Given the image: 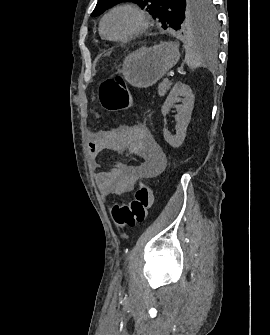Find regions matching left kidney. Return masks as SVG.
Listing matches in <instances>:
<instances>
[{
  "mask_svg": "<svg viewBox=\"0 0 270 335\" xmlns=\"http://www.w3.org/2000/svg\"><path fill=\"white\" fill-rule=\"evenodd\" d=\"M178 96H183L184 100L182 106H175L176 112H178L175 116V120L177 122L176 136H172L171 132H168L167 128H164L163 130V136L172 148H179L185 140L186 130L191 120L195 100L190 86H186V84H182V82H177V84L173 86L169 96H167V100H165L162 106L163 116L169 114L170 108H172L176 102H180L181 98H178Z\"/></svg>",
  "mask_w": 270,
  "mask_h": 335,
  "instance_id": "obj_1",
  "label": "left kidney"
}]
</instances>
